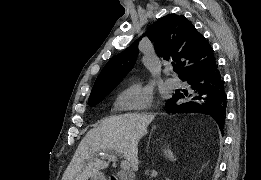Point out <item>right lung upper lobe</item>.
I'll return each instance as SVG.
<instances>
[{"mask_svg":"<svg viewBox=\"0 0 261 180\" xmlns=\"http://www.w3.org/2000/svg\"><path fill=\"white\" fill-rule=\"evenodd\" d=\"M156 39V53L164 60L181 66L178 74L182 79L187 73L215 61L213 49L184 16L167 15L153 24L131 46L114 56L97 77L90 98L109 94L121 79L132 69L138 55L142 37Z\"/></svg>","mask_w":261,"mask_h":180,"instance_id":"right-lung-upper-lobe-1","label":"right lung upper lobe"}]
</instances>
